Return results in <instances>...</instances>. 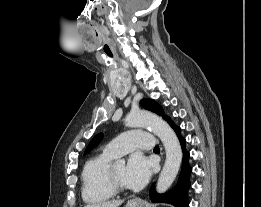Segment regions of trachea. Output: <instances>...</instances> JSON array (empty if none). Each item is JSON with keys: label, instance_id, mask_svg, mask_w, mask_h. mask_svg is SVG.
<instances>
[{"label": "trachea", "instance_id": "3493384b", "mask_svg": "<svg viewBox=\"0 0 261 207\" xmlns=\"http://www.w3.org/2000/svg\"><path fill=\"white\" fill-rule=\"evenodd\" d=\"M154 150H159V147H158V146H156V147L154 148Z\"/></svg>", "mask_w": 261, "mask_h": 207}]
</instances>
